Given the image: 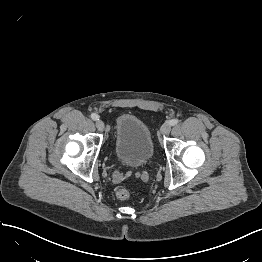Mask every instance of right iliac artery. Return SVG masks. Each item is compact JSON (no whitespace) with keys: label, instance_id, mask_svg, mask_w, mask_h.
<instances>
[{"label":"right iliac artery","instance_id":"1","mask_svg":"<svg viewBox=\"0 0 262 262\" xmlns=\"http://www.w3.org/2000/svg\"><path fill=\"white\" fill-rule=\"evenodd\" d=\"M91 118H92L93 120H99V116H98L96 113H92V114H91Z\"/></svg>","mask_w":262,"mask_h":262}]
</instances>
